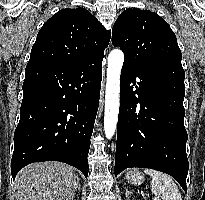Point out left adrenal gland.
Returning <instances> with one entry per match:
<instances>
[{"label":"left adrenal gland","mask_w":205,"mask_h":200,"mask_svg":"<svg viewBox=\"0 0 205 200\" xmlns=\"http://www.w3.org/2000/svg\"><path fill=\"white\" fill-rule=\"evenodd\" d=\"M130 193H131V192L129 191V189L126 188L125 196H126V197H129Z\"/></svg>","instance_id":"left-adrenal-gland-1"}]
</instances>
